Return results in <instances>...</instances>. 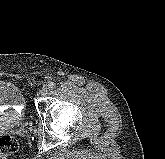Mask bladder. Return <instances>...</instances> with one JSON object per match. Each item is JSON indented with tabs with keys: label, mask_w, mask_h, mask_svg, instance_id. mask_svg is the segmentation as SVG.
<instances>
[{
	"label": "bladder",
	"mask_w": 165,
	"mask_h": 159,
	"mask_svg": "<svg viewBox=\"0 0 165 159\" xmlns=\"http://www.w3.org/2000/svg\"><path fill=\"white\" fill-rule=\"evenodd\" d=\"M25 105V98L22 91L13 83L0 80V106H5L10 111L0 112V122L7 117L14 115L19 118L20 109Z\"/></svg>",
	"instance_id": "bladder-1"
}]
</instances>
